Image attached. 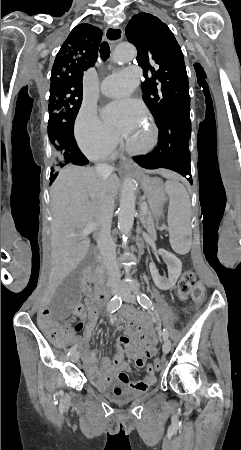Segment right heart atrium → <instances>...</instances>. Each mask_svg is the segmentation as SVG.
I'll list each match as a JSON object with an SVG mask.
<instances>
[{
	"mask_svg": "<svg viewBox=\"0 0 241 450\" xmlns=\"http://www.w3.org/2000/svg\"><path fill=\"white\" fill-rule=\"evenodd\" d=\"M74 133L80 151L89 159L105 160L114 155L115 136L97 117L95 109L82 105L75 123Z\"/></svg>",
	"mask_w": 241,
	"mask_h": 450,
	"instance_id": "1",
	"label": "right heart atrium"
}]
</instances>
